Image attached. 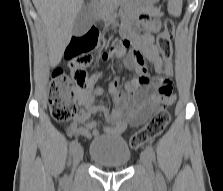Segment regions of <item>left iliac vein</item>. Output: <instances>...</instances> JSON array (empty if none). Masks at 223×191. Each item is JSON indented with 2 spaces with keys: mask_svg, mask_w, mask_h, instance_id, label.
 <instances>
[{
  "mask_svg": "<svg viewBox=\"0 0 223 191\" xmlns=\"http://www.w3.org/2000/svg\"><path fill=\"white\" fill-rule=\"evenodd\" d=\"M140 160H141L142 164L146 167V169H147V171L150 175V178L152 180H154L155 179V174H154V171H153L151 158L149 157V155L146 151L141 152Z\"/></svg>",
  "mask_w": 223,
  "mask_h": 191,
  "instance_id": "obj_1",
  "label": "left iliac vein"
}]
</instances>
